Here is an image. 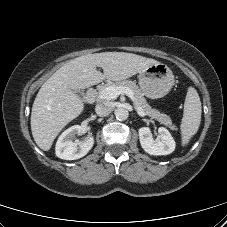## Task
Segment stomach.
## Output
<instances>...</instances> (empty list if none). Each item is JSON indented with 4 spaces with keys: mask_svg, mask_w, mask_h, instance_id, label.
Instances as JSON below:
<instances>
[{
    "mask_svg": "<svg viewBox=\"0 0 227 227\" xmlns=\"http://www.w3.org/2000/svg\"><path fill=\"white\" fill-rule=\"evenodd\" d=\"M138 78L142 93L151 99L164 97L174 85L171 69L159 62L140 71Z\"/></svg>",
    "mask_w": 227,
    "mask_h": 227,
    "instance_id": "0dacf381",
    "label": "stomach"
}]
</instances>
